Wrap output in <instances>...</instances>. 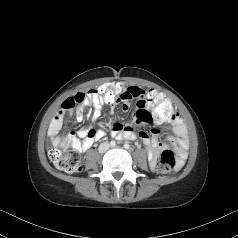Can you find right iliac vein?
Returning a JSON list of instances; mask_svg holds the SVG:
<instances>
[{
	"mask_svg": "<svg viewBox=\"0 0 238 238\" xmlns=\"http://www.w3.org/2000/svg\"><path fill=\"white\" fill-rule=\"evenodd\" d=\"M105 149H106V146H103V147H102V151L105 150Z\"/></svg>",
	"mask_w": 238,
	"mask_h": 238,
	"instance_id": "obj_1",
	"label": "right iliac vein"
}]
</instances>
